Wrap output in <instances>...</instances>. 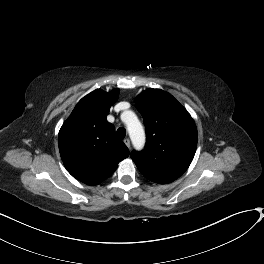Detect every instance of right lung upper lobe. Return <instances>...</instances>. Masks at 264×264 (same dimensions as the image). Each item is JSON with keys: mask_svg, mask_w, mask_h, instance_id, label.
Returning a JSON list of instances; mask_svg holds the SVG:
<instances>
[{"mask_svg": "<svg viewBox=\"0 0 264 264\" xmlns=\"http://www.w3.org/2000/svg\"><path fill=\"white\" fill-rule=\"evenodd\" d=\"M119 89L107 93L97 89L75 106L58 135L60 156L68 172L87 185L110 177L118 163L129 156L126 145L107 122Z\"/></svg>", "mask_w": 264, "mask_h": 264, "instance_id": "obj_1", "label": "right lung upper lobe"}]
</instances>
